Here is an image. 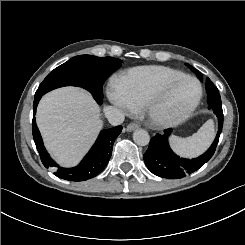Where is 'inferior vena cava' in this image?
Masks as SVG:
<instances>
[{"label": "inferior vena cava", "instance_id": "602c4592", "mask_svg": "<svg viewBox=\"0 0 245 245\" xmlns=\"http://www.w3.org/2000/svg\"><path fill=\"white\" fill-rule=\"evenodd\" d=\"M104 113L112 125H119L124 120V113L114 106L104 107Z\"/></svg>", "mask_w": 245, "mask_h": 245}]
</instances>
